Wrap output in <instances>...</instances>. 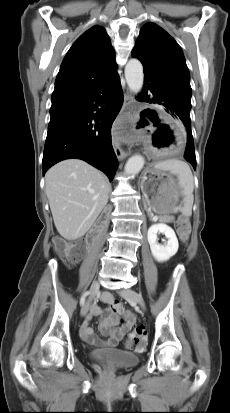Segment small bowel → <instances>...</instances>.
<instances>
[{
  "mask_svg": "<svg viewBox=\"0 0 230 413\" xmlns=\"http://www.w3.org/2000/svg\"><path fill=\"white\" fill-rule=\"evenodd\" d=\"M103 301L112 303L114 298L108 292H103L101 295ZM113 313L108 311L104 313L100 306L97 304H92L90 308L89 315L85 318L81 326V336L84 341L90 345L101 346L106 348H113L117 345L119 341L123 339L126 333L132 328L136 321V317L133 313L118 312ZM93 316L101 317L100 331L104 336L110 335L107 340H102L93 334L92 328L90 327V321ZM130 343L127 342V346Z\"/></svg>",
  "mask_w": 230,
  "mask_h": 413,
  "instance_id": "1",
  "label": "small bowel"
}]
</instances>
